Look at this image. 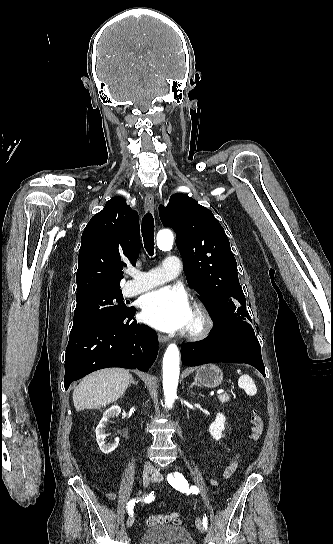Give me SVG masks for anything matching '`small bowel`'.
<instances>
[{
    "mask_svg": "<svg viewBox=\"0 0 333 544\" xmlns=\"http://www.w3.org/2000/svg\"><path fill=\"white\" fill-rule=\"evenodd\" d=\"M235 467H236V458L233 459V460L229 463V465L226 467V469L224 470V475H225V476H229V475L234 471ZM214 483H216V482L214 481ZM107 497H108V499H110V500H112V501H114V500L116 499V496H115V494H113V493H109V494L107 495Z\"/></svg>",
    "mask_w": 333,
    "mask_h": 544,
    "instance_id": "c3829d8e",
    "label": "small bowel"
}]
</instances>
